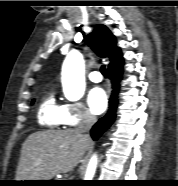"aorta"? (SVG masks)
Segmentation results:
<instances>
[{
	"mask_svg": "<svg viewBox=\"0 0 178 186\" xmlns=\"http://www.w3.org/2000/svg\"><path fill=\"white\" fill-rule=\"evenodd\" d=\"M84 59L80 52H70L62 66V86L65 97L70 101L79 100L85 91ZM97 155L89 161L84 180H93L97 167Z\"/></svg>",
	"mask_w": 178,
	"mask_h": 186,
	"instance_id": "762f6f07",
	"label": "aorta"
}]
</instances>
